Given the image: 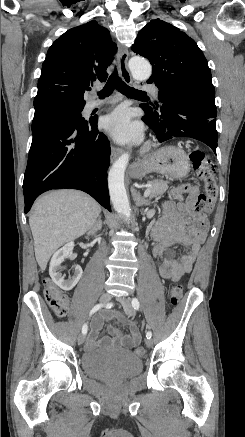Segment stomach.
Returning <instances> with one entry per match:
<instances>
[{"mask_svg":"<svg viewBox=\"0 0 245 437\" xmlns=\"http://www.w3.org/2000/svg\"><path fill=\"white\" fill-rule=\"evenodd\" d=\"M189 171L190 161L184 150L176 146H165L137 162L130 176L138 179L151 172H158L172 180L185 177Z\"/></svg>","mask_w":245,"mask_h":437,"instance_id":"obj_1","label":"stomach"}]
</instances>
